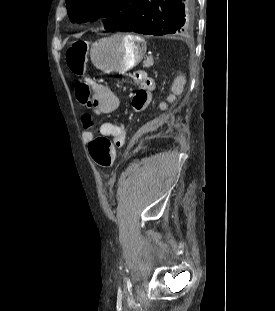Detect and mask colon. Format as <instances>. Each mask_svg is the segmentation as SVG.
Segmentation results:
<instances>
[{
  "instance_id": "1",
  "label": "colon",
  "mask_w": 275,
  "mask_h": 311,
  "mask_svg": "<svg viewBox=\"0 0 275 311\" xmlns=\"http://www.w3.org/2000/svg\"><path fill=\"white\" fill-rule=\"evenodd\" d=\"M88 44L74 42L66 51V61L70 70L79 78L84 76ZM91 89L83 81L77 83L78 100L82 105L90 103ZM89 154L93 162L102 168H110L115 161L114 143L106 136L95 137L89 144Z\"/></svg>"
}]
</instances>
